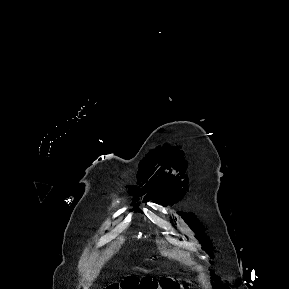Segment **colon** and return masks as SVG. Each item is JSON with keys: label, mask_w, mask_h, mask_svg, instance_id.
<instances>
[{"label": "colon", "mask_w": 289, "mask_h": 289, "mask_svg": "<svg viewBox=\"0 0 289 289\" xmlns=\"http://www.w3.org/2000/svg\"><path fill=\"white\" fill-rule=\"evenodd\" d=\"M182 289H187V284H182ZM105 289H180L179 283L170 277L159 280L151 278L128 277L118 283H111Z\"/></svg>", "instance_id": "1"}]
</instances>
